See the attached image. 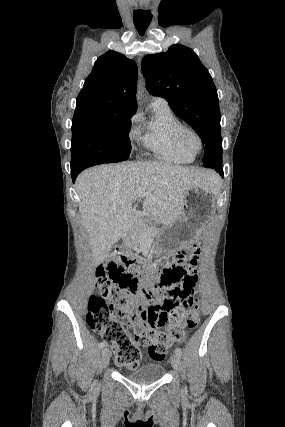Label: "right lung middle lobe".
Returning a JSON list of instances; mask_svg holds the SVG:
<instances>
[{
  "label": "right lung middle lobe",
  "instance_id": "obj_1",
  "mask_svg": "<svg viewBox=\"0 0 285 427\" xmlns=\"http://www.w3.org/2000/svg\"><path fill=\"white\" fill-rule=\"evenodd\" d=\"M131 116L72 122L71 171L127 160Z\"/></svg>",
  "mask_w": 285,
  "mask_h": 427
}]
</instances>
